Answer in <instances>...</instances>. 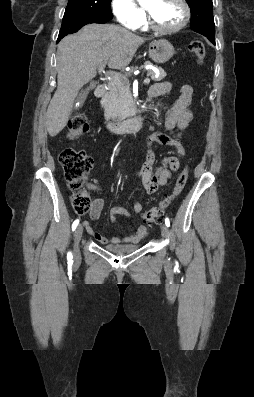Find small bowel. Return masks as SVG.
<instances>
[{
    "instance_id": "obj_1",
    "label": "small bowel",
    "mask_w": 254,
    "mask_h": 397,
    "mask_svg": "<svg viewBox=\"0 0 254 397\" xmlns=\"http://www.w3.org/2000/svg\"><path fill=\"white\" fill-rule=\"evenodd\" d=\"M173 85L170 81H164L154 84L149 90V97L156 98L167 94L171 91ZM193 89L190 85H183L181 87V94L175 100L171 108L168 110L165 117V128L167 130H173L177 128L179 134L176 138H171L163 133L155 132L152 133L147 140V153L146 160L140 170L136 172V176L140 179L144 190L148 194H154L158 189L164 187L169 179L172 177L179 166L180 161L175 156L166 157L161 165L154 168L155 164V153L152 149L153 143L163 144L171 146L180 155H185V149L181 143L184 130L189 126L192 121L193 114L189 110V105L192 100ZM103 167H105L103 165ZM98 189V188H96ZM104 201L102 198L95 199L90 208V218L97 220L100 217L101 210ZM133 209L136 213H140L143 210V206L140 202L136 201L133 204ZM116 215H123L130 217L131 213L128 209L120 206L113 207L110 212V220L112 223L116 222ZM87 232L99 243L105 245H119L122 243H138L148 235V229L141 227L137 232L130 234L126 237H105L99 232L91 228L87 223L84 224Z\"/></svg>"
}]
</instances>
